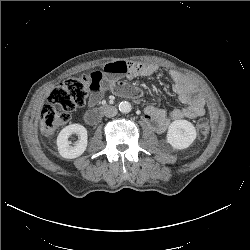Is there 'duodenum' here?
Returning <instances> with one entry per match:
<instances>
[{
    "label": "duodenum",
    "mask_w": 250,
    "mask_h": 250,
    "mask_svg": "<svg viewBox=\"0 0 250 250\" xmlns=\"http://www.w3.org/2000/svg\"><path fill=\"white\" fill-rule=\"evenodd\" d=\"M106 105H101L95 108L90 109L86 114H85V121L88 124L94 125L96 124L102 117L104 110L106 109Z\"/></svg>",
    "instance_id": "1"
}]
</instances>
